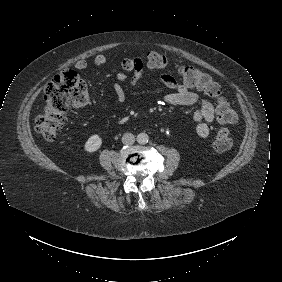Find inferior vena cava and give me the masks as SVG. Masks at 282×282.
I'll use <instances>...</instances> for the list:
<instances>
[{
    "instance_id": "inferior-vena-cava-1",
    "label": "inferior vena cava",
    "mask_w": 282,
    "mask_h": 282,
    "mask_svg": "<svg viewBox=\"0 0 282 282\" xmlns=\"http://www.w3.org/2000/svg\"><path fill=\"white\" fill-rule=\"evenodd\" d=\"M121 141L124 145H132L135 142V137L132 133H125L122 138Z\"/></svg>"
}]
</instances>
